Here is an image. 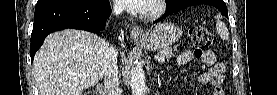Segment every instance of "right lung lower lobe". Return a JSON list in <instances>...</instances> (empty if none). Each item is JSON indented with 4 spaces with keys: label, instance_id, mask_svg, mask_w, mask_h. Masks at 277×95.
<instances>
[{
    "label": "right lung lower lobe",
    "instance_id": "right-lung-lower-lobe-1",
    "mask_svg": "<svg viewBox=\"0 0 277 95\" xmlns=\"http://www.w3.org/2000/svg\"><path fill=\"white\" fill-rule=\"evenodd\" d=\"M111 14L109 0H65L36 4L31 34V61L52 32L74 28L98 33Z\"/></svg>",
    "mask_w": 277,
    "mask_h": 95
}]
</instances>
